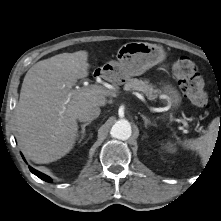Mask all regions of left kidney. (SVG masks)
Instances as JSON below:
<instances>
[{
	"label": "left kidney",
	"mask_w": 221,
	"mask_h": 221,
	"mask_svg": "<svg viewBox=\"0 0 221 221\" xmlns=\"http://www.w3.org/2000/svg\"><path fill=\"white\" fill-rule=\"evenodd\" d=\"M164 149L169 152V153H173L176 151L174 145L170 142H168L167 144H165Z\"/></svg>",
	"instance_id": "1"
}]
</instances>
